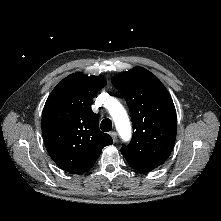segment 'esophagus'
Listing matches in <instances>:
<instances>
[{"label":"esophagus","mask_w":221,"mask_h":221,"mask_svg":"<svg viewBox=\"0 0 221 221\" xmlns=\"http://www.w3.org/2000/svg\"><path fill=\"white\" fill-rule=\"evenodd\" d=\"M110 135H111L113 141L116 142V141H117V133H116L115 131H112V132L110 133Z\"/></svg>","instance_id":"obj_1"}]
</instances>
